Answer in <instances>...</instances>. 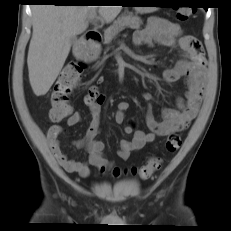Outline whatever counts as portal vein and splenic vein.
Segmentation results:
<instances>
[{
  "mask_svg": "<svg viewBox=\"0 0 231 231\" xmlns=\"http://www.w3.org/2000/svg\"><path fill=\"white\" fill-rule=\"evenodd\" d=\"M93 19H94V15L93 14H91V15L88 16V20H93Z\"/></svg>",
  "mask_w": 231,
  "mask_h": 231,
  "instance_id": "1",
  "label": "portal vein and splenic vein"
}]
</instances>
